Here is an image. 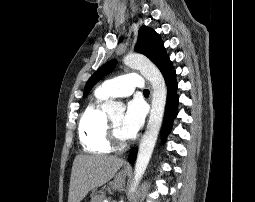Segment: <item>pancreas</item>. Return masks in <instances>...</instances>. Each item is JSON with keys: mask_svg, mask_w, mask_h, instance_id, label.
<instances>
[{"mask_svg": "<svg viewBox=\"0 0 255 202\" xmlns=\"http://www.w3.org/2000/svg\"><path fill=\"white\" fill-rule=\"evenodd\" d=\"M104 198H105V196L103 194L97 195V196L92 198L91 202H103ZM107 202H110V201H107Z\"/></svg>", "mask_w": 255, "mask_h": 202, "instance_id": "cf45deb5", "label": "pancreas"}]
</instances>
